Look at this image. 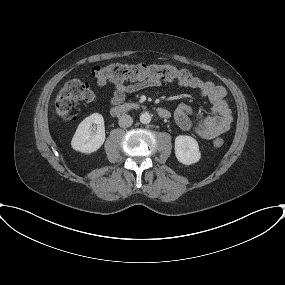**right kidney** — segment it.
<instances>
[{"mask_svg":"<svg viewBox=\"0 0 285 285\" xmlns=\"http://www.w3.org/2000/svg\"><path fill=\"white\" fill-rule=\"evenodd\" d=\"M94 125L97 129L94 131ZM105 141L104 119L101 114L93 113L86 117L78 126L71 146L81 153L90 154L97 151Z\"/></svg>","mask_w":285,"mask_h":285,"instance_id":"ca27d5eb","label":"right kidney"}]
</instances>
